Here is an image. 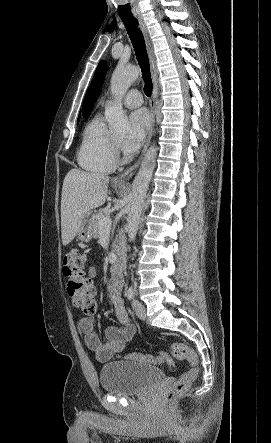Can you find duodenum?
<instances>
[{"mask_svg":"<svg viewBox=\"0 0 271 443\" xmlns=\"http://www.w3.org/2000/svg\"><path fill=\"white\" fill-rule=\"evenodd\" d=\"M125 259L123 256H119L111 266V272L114 276L119 277L124 268Z\"/></svg>","mask_w":271,"mask_h":443,"instance_id":"1","label":"duodenum"}]
</instances>
